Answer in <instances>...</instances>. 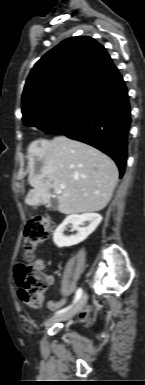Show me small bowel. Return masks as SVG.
I'll use <instances>...</instances> for the list:
<instances>
[{
    "label": "small bowel",
    "instance_id": "1",
    "mask_svg": "<svg viewBox=\"0 0 145 385\" xmlns=\"http://www.w3.org/2000/svg\"><path fill=\"white\" fill-rule=\"evenodd\" d=\"M49 277V280H50V285H52L54 283V278L52 276H48ZM67 302V299L66 298H62L60 299L59 301H48L47 302V308L50 310V311H53V310H56L60 307H62L65 303ZM92 311V306H88L86 307L83 312L80 314V320L84 323H90V313Z\"/></svg>",
    "mask_w": 145,
    "mask_h": 385
}]
</instances>
